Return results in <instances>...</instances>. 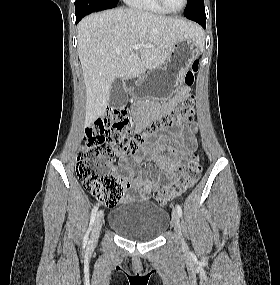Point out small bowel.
<instances>
[{
    "mask_svg": "<svg viewBox=\"0 0 280 285\" xmlns=\"http://www.w3.org/2000/svg\"><path fill=\"white\" fill-rule=\"evenodd\" d=\"M190 94L188 87H183L168 103L157 109L154 116L159 113L171 111L179 102L186 99ZM149 118H141L135 125L134 131L141 132L149 123ZM194 128L172 133V139H159L150 142L141 148L140 154H133L131 160L124 158L120 161V167L126 174L123 185L122 198L127 201L132 199H149L152 192L158 190L163 180H169L179 174L185 163L192 157L197 142L194 136ZM148 156L156 165L161 175L157 178H151L154 173V167L150 166L144 169L141 176H137L132 165L142 164L144 157Z\"/></svg>",
    "mask_w": 280,
    "mask_h": 285,
    "instance_id": "obj_1",
    "label": "small bowel"
}]
</instances>
